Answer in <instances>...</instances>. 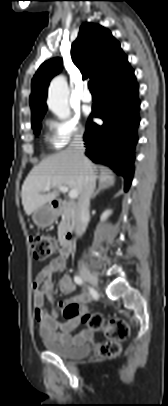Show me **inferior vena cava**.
<instances>
[{
  "instance_id": "1",
  "label": "inferior vena cava",
  "mask_w": 168,
  "mask_h": 406,
  "mask_svg": "<svg viewBox=\"0 0 168 406\" xmlns=\"http://www.w3.org/2000/svg\"><path fill=\"white\" fill-rule=\"evenodd\" d=\"M68 149L73 152L74 156L82 160L84 159V141L81 134H76L70 143ZM96 186V176L92 169L86 167L84 170V189L81 193L78 201V208L76 211L74 226L75 232L78 236H81L87 227L89 222V206L90 200L93 196ZM82 266L83 263H82Z\"/></svg>"
}]
</instances>
